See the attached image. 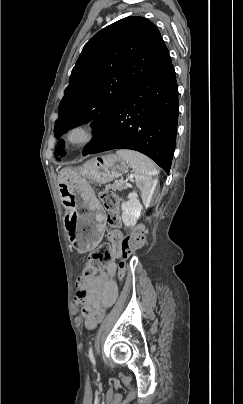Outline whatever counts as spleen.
<instances>
[{
	"label": "spleen",
	"instance_id": "1",
	"mask_svg": "<svg viewBox=\"0 0 243 404\" xmlns=\"http://www.w3.org/2000/svg\"><path fill=\"white\" fill-rule=\"evenodd\" d=\"M116 154L132 168L136 178V186L141 192L145 208L153 206V196L158 184V172L154 162L147 156H143L139 152H133V150H118Z\"/></svg>",
	"mask_w": 243,
	"mask_h": 404
}]
</instances>
